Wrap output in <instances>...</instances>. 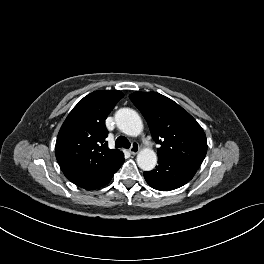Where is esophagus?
<instances>
[{
    "label": "esophagus",
    "instance_id": "obj_1",
    "mask_svg": "<svg viewBox=\"0 0 264 264\" xmlns=\"http://www.w3.org/2000/svg\"><path fill=\"white\" fill-rule=\"evenodd\" d=\"M139 144L136 143V142H133L132 145H131V148H130V153L135 155L139 152Z\"/></svg>",
    "mask_w": 264,
    "mask_h": 264
}]
</instances>
